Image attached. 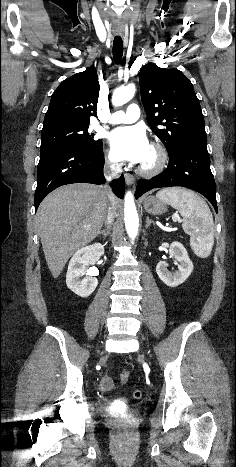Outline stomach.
Instances as JSON below:
<instances>
[{
    "mask_svg": "<svg viewBox=\"0 0 236 467\" xmlns=\"http://www.w3.org/2000/svg\"><path fill=\"white\" fill-rule=\"evenodd\" d=\"M143 206L145 211L152 215H161L167 211L166 203L154 196L146 197Z\"/></svg>",
    "mask_w": 236,
    "mask_h": 467,
    "instance_id": "0dacf381",
    "label": "stomach"
}]
</instances>
